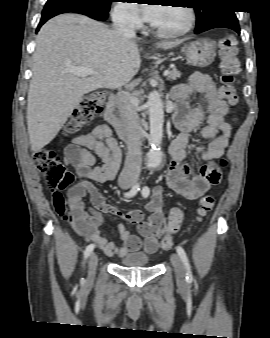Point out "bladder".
<instances>
[{
    "label": "bladder",
    "instance_id": "1",
    "mask_svg": "<svg viewBox=\"0 0 270 338\" xmlns=\"http://www.w3.org/2000/svg\"><path fill=\"white\" fill-rule=\"evenodd\" d=\"M151 258L143 253L127 254L119 261V265L125 268H146L150 265Z\"/></svg>",
    "mask_w": 270,
    "mask_h": 338
}]
</instances>
